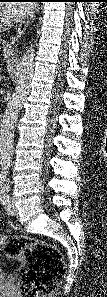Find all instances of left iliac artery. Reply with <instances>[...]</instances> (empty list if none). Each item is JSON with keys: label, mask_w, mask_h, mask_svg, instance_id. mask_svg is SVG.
<instances>
[{"label": "left iliac artery", "mask_w": 107, "mask_h": 297, "mask_svg": "<svg viewBox=\"0 0 107 297\" xmlns=\"http://www.w3.org/2000/svg\"><path fill=\"white\" fill-rule=\"evenodd\" d=\"M1 195H0V201L3 205L7 204L9 201V195H8V190L2 188L1 190Z\"/></svg>", "instance_id": "left-iliac-artery-1"}]
</instances>
